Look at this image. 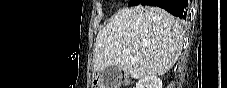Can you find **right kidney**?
<instances>
[{"mask_svg":"<svg viewBox=\"0 0 227 88\" xmlns=\"http://www.w3.org/2000/svg\"><path fill=\"white\" fill-rule=\"evenodd\" d=\"M136 88H162V80L157 76H147L136 83Z\"/></svg>","mask_w":227,"mask_h":88,"instance_id":"1","label":"right kidney"}]
</instances>
